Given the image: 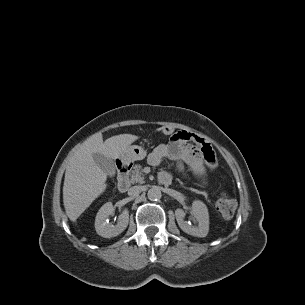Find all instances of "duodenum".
<instances>
[{
  "mask_svg": "<svg viewBox=\"0 0 305 305\" xmlns=\"http://www.w3.org/2000/svg\"><path fill=\"white\" fill-rule=\"evenodd\" d=\"M131 166L123 161H119L117 163L118 170V183L117 187L120 192H126L130 186L129 173ZM159 181L163 185H169L171 183V179L167 176H161Z\"/></svg>",
  "mask_w": 305,
  "mask_h": 305,
  "instance_id": "1",
  "label": "duodenum"
}]
</instances>
